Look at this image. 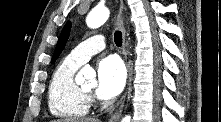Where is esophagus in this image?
<instances>
[{"mask_svg":"<svg viewBox=\"0 0 221 122\" xmlns=\"http://www.w3.org/2000/svg\"><path fill=\"white\" fill-rule=\"evenodd\" d=\"M123 9H124V3L121 1L120 3V8H119V21H118V26L122 32V39H123V45H122V51H123V55L125 58V62L127 65V72H128V79L130 77V62H129V57H128V43L126 40V30H125V26H124V22L122 19V13H123ZM129 81V80H128ZM124 101H125V97L122 100L119 108L117 109V111L113 114V116L109 119L108 122H118L120 117H121V113L124 107Z\"/></svg>","mask_w":221,"mask_h":122,"instance_id":"34e87169","label":"esophagus"}]
</instances>
